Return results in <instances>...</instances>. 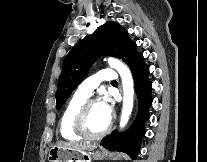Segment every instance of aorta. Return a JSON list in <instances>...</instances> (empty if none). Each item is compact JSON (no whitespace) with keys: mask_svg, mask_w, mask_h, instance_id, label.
I'll list each match as a JSON object with an SVG mask.
<instances>
[{"mask_svg":"<svg viewBox=\"0 0 207 162\" xmlns=\"http://www.w3.org/2000/svg\"><path fill=\"white\" fill-rule=\"evenodd\" d=\"M110 67L114 68L120 75L123 87V105L120 119V127L123 128L128 123L133 109L134 82L129 68L119 59L108 58Z\"/></svg>","mask_w":207,"mask_h":162,"instance_id":"aorta-1","label":"aorta"}]
</instances>
